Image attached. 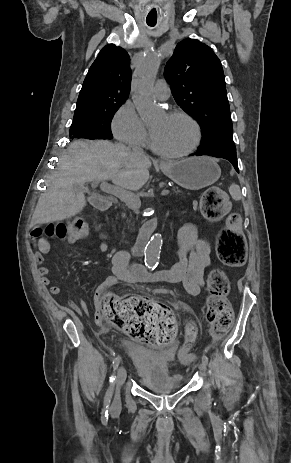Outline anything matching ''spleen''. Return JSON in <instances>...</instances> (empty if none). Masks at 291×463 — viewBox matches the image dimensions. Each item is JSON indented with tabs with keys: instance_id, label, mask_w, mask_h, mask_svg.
<instances>
[{
	"instance_id": "1",
	"label": "spleen",
	"mask_w": 291,
	"mask_h": 463,
	"mask_svg": "<svg viewBox=\"0 0 291 463\" xmlns=\"http://www.w3.org/2000/svg\"><path fill=\"white\" fill-rule=\"evenodd\" d=\"M229 193L234 200L239 201L241 199L240 187L237 184L233 183L230 185Z\"/></svg>"
}]
</instances>
